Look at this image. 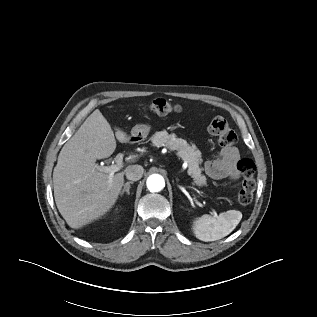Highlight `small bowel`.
<instances>
[{"mask_svg":"<svg viewBox=\"0 0 317 317\" xmlns=\"http://www.w3.org/2000/svg\"><path fill=\"white\" fill-rule=\"evenodd\" d=\"M238 160L239 151L235 146L224 147L215 160L205 163L204 171L212 179L236 180L239 177Z\"/></svg>","mask_w":317,"mask_h":317,"instance_id":"c3829d8e","label":"small bowel"}]
</instances>
